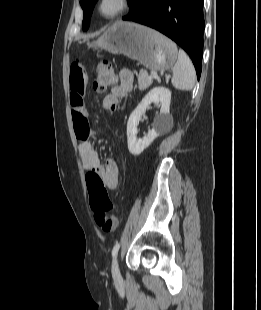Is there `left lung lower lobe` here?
<instances>
[{
  "mask_svg": "<svg viewBox=\"0 0 261 310\" xmlns=\"http://www.w3.org/2000/svg\"><path fill=\"white\" fill-rule=\"evenodd\" d=\"M123 20L134 21L165 34L191 57L201 75L203 55V0H136Z\"/></svg>",
  "mask_w": 261,
  "mask_h": 310,
  "instance_id": "left-lung-lower-lobe-1",
  "label": "left lung lower lobe"
}]
</instances>
